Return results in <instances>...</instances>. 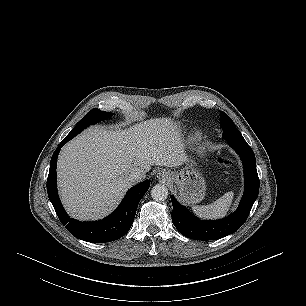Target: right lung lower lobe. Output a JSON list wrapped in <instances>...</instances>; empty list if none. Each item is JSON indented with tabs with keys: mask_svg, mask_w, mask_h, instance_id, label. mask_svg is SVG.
Instances as JSON below:
<instances>
[{
	"mask_svg": "<svg viewBox=\"0 0 306 306\" xmlns=\"http://www.w3.org/2000/svg\"><path fill=\"white\" fill-rule=\"evenodd\" d=\"M68 141L69 139L65 137L53 153L47 178L48 196L59 220L72 235L87 242L104 243L119 239L129 231L137 206L148 191L150 182L146 180L132 187L118 208L100 221L82 222L70 218L60 202L56 185L57 157L60 148Z\"/></svg>",
	"mask_w": 306,
	"mask_h": 306,
	"instance_id": "1",
	"label": "right lung lower lobe"
}]
</instances>
